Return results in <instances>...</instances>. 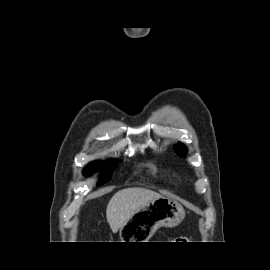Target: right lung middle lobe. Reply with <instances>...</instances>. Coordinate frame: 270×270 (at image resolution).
<instances>
[{"label":"right lung middle lobe","mask_w":270,"mask_h":270,"mask_svg":"<svg viewBox=\"0 0 270 270\" xmlns=\"http://www.w3.org/2000/svg\"><path fill=\"white\" fill-rule=\"evenodd\" d=\"M117 163H118V161L114 160L111 163H109L108 166L103 168V173H102V176L100 178V181L98 182V185L105 183L106 181H108L111 178L112 172H113L114 168L117 166ZM100 168H101L100 162H93V163H90L89 166L84 169V173L89 174V173H92L93 171L100 169Z\"/></svg>","instance_id":"1"}]
</instances>
